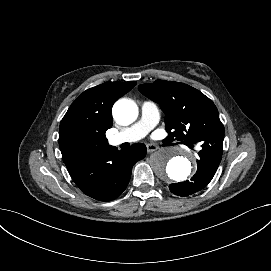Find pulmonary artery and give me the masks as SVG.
I'll return each mask as SVG.
<instances>
[{
    "instance_id": "obj_1",
    "label": "pulmonary artery",
    "mask_w": 271,
    "mask_h": 271,
    "mask_svg": "<svg viewBox=\"0 0 271 271\" xmlns=\"http://www.w3.org/2000/svg\"><path fill=\"white\" fill-rule=\"evenodd\" d=\"M159 118L160 113L158 106L152 101L143 102L141 105L140 120L123 131L111 134L108 137L109 145L117 146L123 143H134L141 140L154 131ZM193 152L195 154H201L203 147L201 145H195Z\"/></svg>"
}]
</instances>
